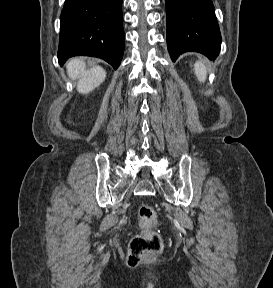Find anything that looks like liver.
<instances>
[{
    "mask_svg": "<svg viewBox=\"0 0 273 288\" xmlns=\"http://www.w3.org/2000/svg\"><path fill=\"white\" fill-rule=\"evenodd\" d=\"M67 72L71 79H79L77 91L81 94H88L103 83L106 78V71L100 66H94L86 70V64L81 58H73L68 61Z\"/></svg>",
    "mask_w": 273,
    "mask_h": 288,
    "instance_id": "obj_1",
    "label": "liver"
}]
</instances>
